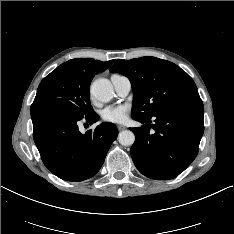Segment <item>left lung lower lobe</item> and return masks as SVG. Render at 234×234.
Listing matches in <instances>:
<instances>
[{
	"label": "left lung lower lobe",
	"mask_w": 234,
	"mask_h": 234,
	"mask_svg": "<svg viewBox=\"0 0 234 234\" xmlns=\"http://www.w3.org/2000/svg\"><path fill=\"white\" fill-rule=\"evenodd\" d=\"M204 107L200 98L183 102L156 113L151 118H133L141 123L132 128L135 142L130 153L143 175L167 180L178 176L195 159L204 132ZM150 127L155 132L150 133Z\"/></svg>",
	"instance_id": "left-lung-lower-lobe-1"
}]
</instances>
